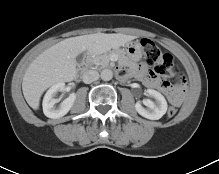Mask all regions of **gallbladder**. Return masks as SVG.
Segmentation results:
<instances>
[{
    "mask_svg": "<svg viewBox=\"0 0 219 174\" xmlns=\"http://www.w3.org/2000/svg\"><path fill=\"white\" fill-rule=\"evenodd\" d=\"M83 59V56L82 55H78L77 58H76V61L77 63H80Z\"/></svg>",
    "mask_w": 219,
    "mask_h": 174,
    "instance_id": "gallbladder-1",
    "label": "gallbladder"
}]
</instances>
